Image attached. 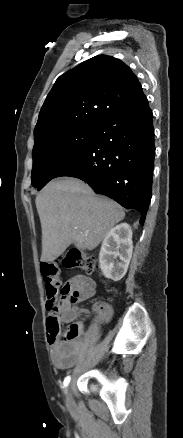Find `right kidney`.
Wrapping results in <instances>:
<instances>
[{
    "instance_id": "right-kidney-1",
    "label": "right kidney",
    "mask_w": 183,
    "mask_h": 438,
    "mask_svg": "<svg viewBox=\"0 0 183 438\" xmlns=\"http://www.w3.org/2000/svg\"><path fill=\"white\" fill-rule=\"evenodd\" d=\"M132 251L131 226L121 223L112 228L105 236L99 253V265L104 276L114 281L122 279L127 272Z\"/></svg>"
}]
</instances>
